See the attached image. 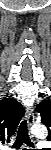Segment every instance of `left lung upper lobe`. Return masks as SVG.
<instances>
[{"label": "left lung upper lobe", "instance_id": "left-lung-upper-lobe-1", "mask_svg": "<svg viewBox=\"0 0 51 150\" xmlns=\"http://www.w3.org/2000/svg\"><path fill=\"white\" fill-rule=\"evenodd\" d=\"M36 111L40 113L41 122L49 129L51 127V101H42L37 106ZM47 139H49V136Z\"/></svg>", "mask_w": 51, "mask_h": 150}]
</instances>
